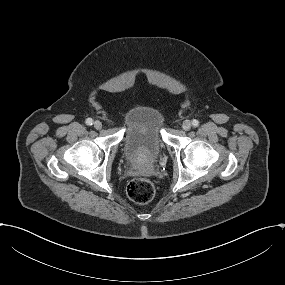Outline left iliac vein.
<instances>
[{"mask_svg": "<svg viewBox=\"0 0 285 285\" xmlns=\"http://www.w3.org/2000/svg\"><path fill=\"white\" fill-rule=\"evenodd\" d=\"M182 128L184 130H189L191 128V121L190 120L183 121Z\"/></svg>", "mask_w": 285, "mask_h": 285, "instance_id": "left-iliac-vein-1", "label": "left iliac vein"}]
</instances>
